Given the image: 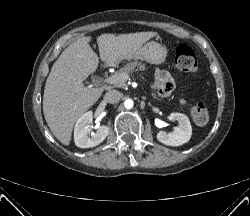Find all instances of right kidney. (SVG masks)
Masks as SVG:
<instances>
[{
    "instance_id": "1",
    "label": "right kidney",
    "mask_w": 250,
    "mask_h": 216,
    "mask_svg": "<svg viewBox=\"0 0 250 216\" xmlns=\"http://www.w3.org/2000/svg\"><path fill=\"white\" fill-rule=\"evenodd\" d=\"M92 111L84 113L76 122L74 128V141L77 147L90 148L99 145L108 136L109 128L105 125L97 128L95 133L89 136L92 123Z\"/></svg>"
}]
</instances>
